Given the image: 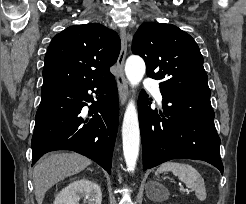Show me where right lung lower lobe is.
<instances>
[{"instance_id":"right-lung-lower-lobe-1","label":"right lung lower lobe","mask_w":246,"mask_h":204,"mask_svg":"<svg viewBox=\"0 0 246 204\" xmlns=\"http://www.w3.org/2000/svg\"><path fill=\"white\" fill-rule=\"evenodd\" d=\"M41 97L31 142L32 165L47 152L72 150L110 174L119 117L114 76L45 89ZM86 102L92 103L87 116L82 111Z\"/></svg>"}]
</instances>
